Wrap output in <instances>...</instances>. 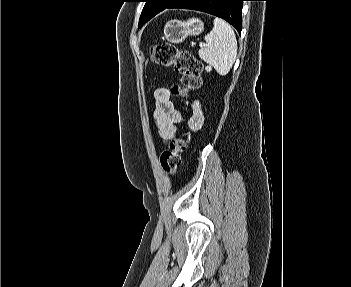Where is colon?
<instances>
[{
  "label": "colon",
  "mask_w": 351,
  "mask_h": 287,
  "mask_svg": "<svg viewBox=\"0 0 351 287\" xmlns=\"http://www.w3.org/2000/svg\"><path fill=\"white\" fill-rule=\"evenodd\" d=\"M152 60L161 66L173 67L181 75L178 84L171 88V94L183 97L201 86L202 64L186 50H179L170 44H157L151 48ZM187 149L183 137H176L160 158L163 170L171 175L176 174L181 164V156Z\"/></svg>",
  "instance_id": "colon-1"
}]
</instances>
